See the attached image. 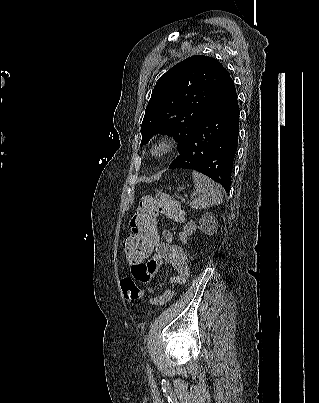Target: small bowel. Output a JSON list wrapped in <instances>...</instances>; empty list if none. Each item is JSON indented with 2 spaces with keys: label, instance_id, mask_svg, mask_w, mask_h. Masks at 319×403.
<instances>
[{
  "label": "small bowel",
  "instance_id": "small-bowel-1",
  "mask_svg": "<svg viewBox=\"0 0 319 403\" xmlns=\"http://www.w3.org/2000/svg\"><path fill=\"white\" fill-rule=\"evenodd\" d=\"M162 242L158 239V247H154L155 255L151 258L150 264L143 261L129 265V276L133 283L145 285L151 277L163 272V263L169 264L176 272L169 278L170 282L184 283L189 275L187 255L182 247L174 244L173 235L170 231L164 230L161 234ZM173 297V291L165 288L162 294L151 299L152 305H163Z\"/></svg>",
  "mask_w": 319,
  "mask_h": 403
}]
</instances>
